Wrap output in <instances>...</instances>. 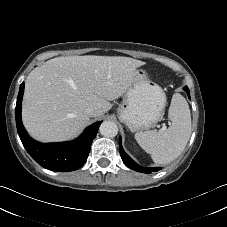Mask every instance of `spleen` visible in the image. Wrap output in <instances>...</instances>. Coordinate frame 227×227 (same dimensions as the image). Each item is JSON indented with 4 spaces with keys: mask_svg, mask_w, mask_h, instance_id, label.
<instances>
[{
    "mask_svg": "<svg viewBox=\"0 0 227 227\" xmlns=\"http://www.w3.org/2000/svg\"><path fill=\"white\" fill-rule=\"evenodd\" d=\"M171 125L166 130L137 132L138 144L156 164H167L184 150L191 135V114L185 98L175 93L168 111Z\"/></svg>",
    "mask_w": 227,
    "mask_h": 227,
    "instance_id": "obj_1",
    "label": "spleen"
}]
</instances>
